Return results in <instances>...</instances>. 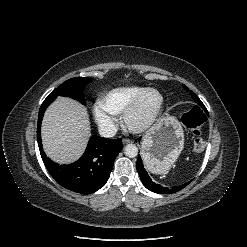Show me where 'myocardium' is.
Wrapping results in <instances>:
<instances>
[{"instance_id": "obj_1", "label": "myocardium", "mask_w": 247, "mask_h": 247, "mask_svg": "<svg viewBox=\"0 0 247 247\" xmlns=\"http://www.w3.org/2000/svg\"><path fill=\"white\" fill-rule=\"evenodd\" d=\"M149 93H155L159 97V104L157 106L156 111L154 112V114L146 122H144V123H142L140 125L132 124L131 116L133 115V113L137 109V107L140 104V102L142 101V99ZM163 107H164L163 95L157 89L148 88L145 91H143L142 93H140L128 105V107L124 110V112L122 113V124L131 133H143V132L149 130L158 121V119L160 118L161 113L163 111Z\"/></svg>"}]
</instances>
